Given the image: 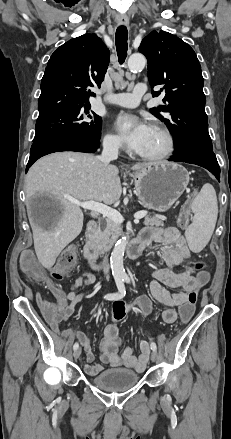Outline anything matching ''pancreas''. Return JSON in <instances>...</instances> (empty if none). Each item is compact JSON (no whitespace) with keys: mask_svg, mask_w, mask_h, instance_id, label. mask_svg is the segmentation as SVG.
I'll use <instances>...</instances> for the list:
<instances>
[{"mask_svg":"<svg viewBox=\"0 0 231 439\" xmlns=\"http://www.w3.org/2000/svg\"><path fill=\"white\" fill-rule=\"evenodd\" d=\"M146 226H163V220L158 217L147 216L144 220ZM122 234L121 224L112 221L107 218L105 223L99 225L98 229L94 234V241L98 249L103 253L108 251L114 242L117 240L119 235Z\"/></svg>","mask_w":231,"mask_h":439,"instance_id":"1","label":"pancreas"}]
</instances>
